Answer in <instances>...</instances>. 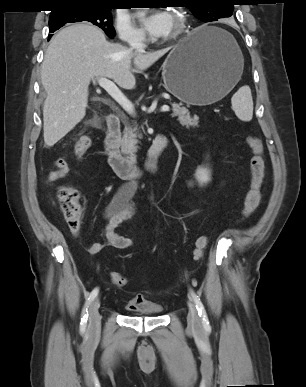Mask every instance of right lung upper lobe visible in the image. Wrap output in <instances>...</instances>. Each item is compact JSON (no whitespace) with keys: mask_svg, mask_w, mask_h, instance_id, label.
I'll list each match as a JSON object with an SVG mask.
<instances>
[{"mask_svg":"<svg viewBox=\"0 0 306 387\" xmlns=\"http://www.w3.org/2000/svg\"><path fill=\"white\" fill-rule=\"evenodd\" d=\"M57 3L56 9L52 12H57L62 8L72 6H102L109 7L113 0H55Z\"/></svg>","mask_w":306,"mask_h":387,"instance_id":"1","label":"right lung upper lobe"}]
</instances>
